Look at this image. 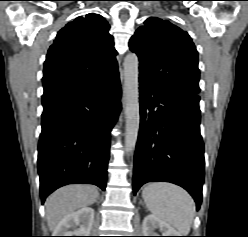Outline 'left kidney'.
Listing matches in <instances>:
<instances>
[{
	"label": "left kidney",
	"instance_id": "1",
	"mask_svg": "<svg viewBox=\"0 0 248 237\" xmlns=\"http://www.w3.org/2000/svg\"><path fill=\"white\" fill-rule=\"evenodd\" d=\"M157 229L161 231V236H180V234L168 223L153 214L146 216L142 226L144 236H160L156 232Z\"/></svg>",
	"mask_w": 248,
	"mask_h": 237
}]
</instances>
